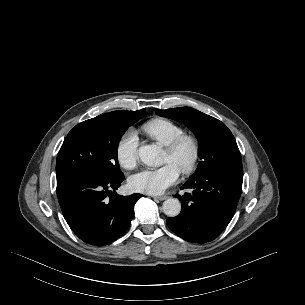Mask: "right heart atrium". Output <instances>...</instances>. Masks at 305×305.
<instances>
[{
    "label": "right heart atrium",
    "instance_id": "1",
    "mask_svg": "<svg viewBox=\"0 0 305 305\" xmlns=\"http://www.w3.org/2000/svg\"><path fill=\"white\" fill-rule=\"evenodd\" d=\"M115 155L119 165L126 169H133L138 163V139L133 130H128L119 139Z\"/></svg>",
    "mask_w": 305,
    "mask_h": 305
}]
</instances>
